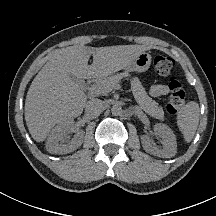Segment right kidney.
<instances>
[{
	"label": "right kidney",
	"instance_id": "right-kidney-1",
	"mask_svg": "<svg viewBox=\"0 0 216 216\" xmlns=\"http://www.w3.org/2000/svg\"><path fill=\"white\" fill-rule=\"evenodd\" d=\"M74 127V120L67 119L61 121L55 128H53L46 141L47 151L52 154H67L78 149L83 143L85 132L83 130L75 131ZM74 131L75 134L71 141L64 144L62 139L65 134Z\"/></svg>",
	"mask_w": 216,
	"mask_h": 216
}]
</instances>
